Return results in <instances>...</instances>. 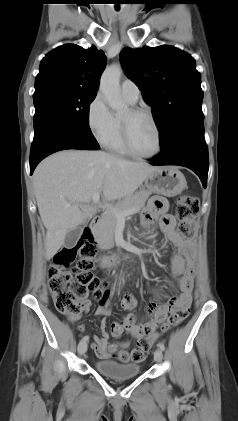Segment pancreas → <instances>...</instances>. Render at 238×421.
Here are the masks:
<instances>
[{"label": "pancreas", "mask_w": 238, "mask_h": 421, "mask_svg": "<svg viewBox=\"0 0 238 421\" xmlns=\"http://www.w3.org/2000/svg\"><path fill=\"white\" fill-rule=\"evenodd\" d=\"M150 195V191L140 190L135 194L127 196L123 200L117 202L115 208L118 211L135 209L139 212L145 206V203ZM117 223L118 219L113 212L107 211L103 214L102 219L93 231L99 248L108 250L114 247V236Z\"/></svg>", "instance_id": "obj_1"}]
</instances>
